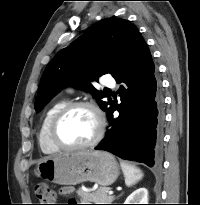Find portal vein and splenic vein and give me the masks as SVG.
I'll list each match as a JSON object with an SVG mask.
<instances>
[{
  "label": "portal vein and splenic vein",
  "instance_id": "obj_1",
  "mask_svg": "<svg viewBox=\"0 0 200 205\" xmlns=\"http://www.w3.org/2000/svg\"><path fill=\"white\" fill-rule=\"evenodd\" d=\"M108 194H109V195H112V194H113V191H111V190L108 191Z\"/></svg>",
  "mask_w": 200,
  "mask_h": 205
}]
</instances>
